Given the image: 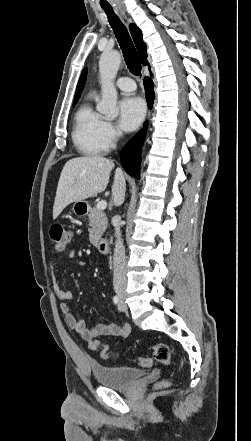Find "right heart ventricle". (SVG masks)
<instances>
[{
	"label": "right heart ventricle",
	"instance_id": "1",
	"mask_svg": "<svg viewBox=\"0 0 251 441\" xmlns=\"http://www.w3.org/2000/svg\"><path fill=\"white\" fill-rule=\"evenodd\" d=\"M105 120L86 99L74 116L72 140L76 148L84 155H100L111 146L104 133Z\"/></svg>",
	"mask_w": 251,
	"mask_h": 441
}]
</instances>
